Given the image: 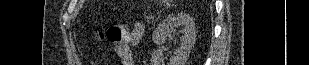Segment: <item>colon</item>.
<instances>
[{
    "instance_id": "5ec220e1",
    "label": "colon",
    "mask_w": 309,
    "mask_h": 65,
    "mask_svg": "<svg viewBox=\"0 0 309 65\" xmlns=\"http://www.w3.org/2000/svg\"><path fill=\"white\" fill-rule=\"evenodd\" d=\"M127 31V26L125 24L115 23L105 30L95 33L94 36L113 44L121 42Z\"/></svg>"
}]
</instances>
